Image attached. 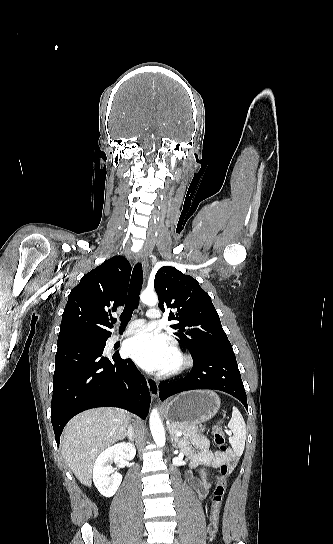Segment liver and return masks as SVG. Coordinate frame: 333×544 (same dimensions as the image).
Returning a JSON list of instances; mask_svg holds the SVG:
<instances>
[{
    "mask_svg": "<svg viewBox=\"0 0 333 544\" xmlns=\"http://www.w3.org/2000/svg\"><path fill=\"white\" fill-rule=\"evenodd\" d=\"M126 427L125 413L115 408L88 410L68 423L61 440L62 455L83 485L91 487L97 456L123 439Z\"/></svg>",
    "mask_w": 333,
    "mask_h": 544,
    "instance_id": "1",
    "label": "liver"
}]
</instances>
